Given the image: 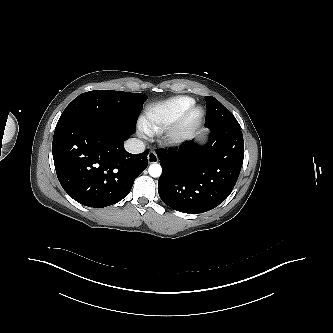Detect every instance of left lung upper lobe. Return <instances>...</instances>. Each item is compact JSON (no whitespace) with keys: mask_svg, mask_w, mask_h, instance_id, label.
I'll list each match as a JSON object with an SVG mask.
<instances>
[{"mask_svg":"<svg viewBox=\"0 0 333 333\" xmlns=\"http://www.w3.org/2000/svg\"><path fill=\"white\" fill-rule=\"evenodd\" d=\"M207 114L206 125H233L240 126L233 114L226 109L216 98L206 96Z\"/></svg>","mask_w":333,"mask_h":333,"instance_id":"5c2ea615","label":"left lung upper lobe"}]
</instances>
